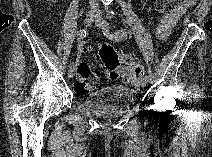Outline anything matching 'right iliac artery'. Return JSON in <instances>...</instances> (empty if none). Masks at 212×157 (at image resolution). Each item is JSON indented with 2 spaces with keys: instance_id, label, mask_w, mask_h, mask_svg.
<instances>
[{
  "instance_id": "82829eb1",
  "label": "right iliac artery",
  "mask_w": 212,
  "mask_h": 157,
  "mask_svg": "<svg viewBox=\"0 0 212 157\" xmlns=\"http://www.w3.org/2000/svg\"><path fill=\"white\" fill-rule=\"evenodd\" d=\"M76 36H77V39H83V38H85L87 36V31L84 30V29L83 30H79V31H77ZM69 67L72 68V65L70 64Z\"/></svg>"
}]
</instances>
